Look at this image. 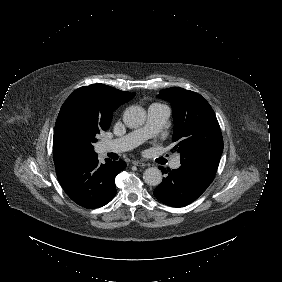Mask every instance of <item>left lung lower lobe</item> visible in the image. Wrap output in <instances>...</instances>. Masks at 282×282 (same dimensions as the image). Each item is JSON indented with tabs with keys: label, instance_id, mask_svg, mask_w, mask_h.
Returning <instances> with one entry per match:
<instances>
[{
	"label": "left lung lower lobe",
	"instance_id": "1",
	"mask_svg": "<svg viewBox=\"0 0 282 282\" xmlns=\"http://www.w3.org/2000/svg\"><path fill=\"white\" fill-rule=\"evenodd\" d=\"M221 155L197 153L181 159V166L169 174L154 190L155 197L172 207H183L195 201L213 181ZM162 173L167 171L159 167Z\"/></svg>",
	"mask_w": 282,
	"mask_h": 282
}]
</instances>
